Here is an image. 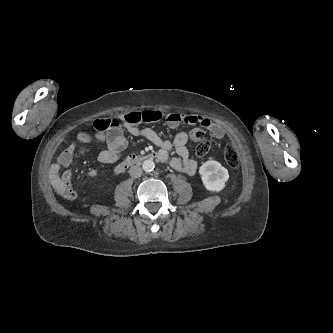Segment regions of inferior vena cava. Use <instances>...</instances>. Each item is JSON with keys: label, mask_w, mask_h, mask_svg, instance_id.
<instances>
[{"label": "inferior vena cava", "mask_w": 333, "mask_h": 333, "mask_svg": "<svg viewBox=\"0 0 333 333\" xmlns=\"http://www.w3.org/2000/svg\"><path fill=\"white\" fill-rule=\"evenodd\" d=\"M129 174L133 178H139L142 175V169L139 166H132L129 169Z\"/></svg>", "instance_id": "602c4592"}]
</instances>
